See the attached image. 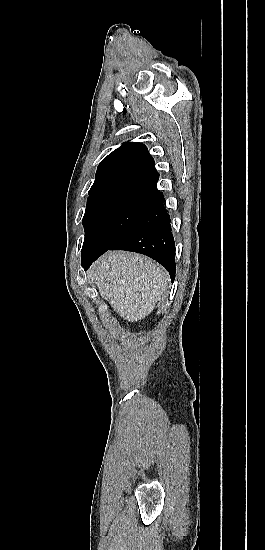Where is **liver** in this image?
Listing matches in <instances>:
<instances>
[{
	"label": "liver",
	"instance_id": "6515ba94",
	"mask_svg": "<svg viewBox=\"0 0 265 550\" xmlns=\"http://www.w3.org/2000/svg\"><path fill=\"white\" fill-rule=\"evenodd\" d=\"M100 296L120 317L138 321L148 316L163 297L169 276L149 258L127 252H107L91 267Z\"/></svg>",
	"mask_w": 265,
	"mask_h": 550
}]
</instances>
